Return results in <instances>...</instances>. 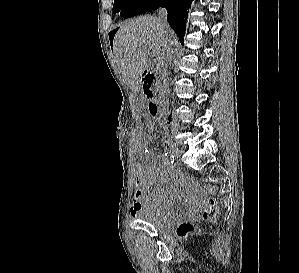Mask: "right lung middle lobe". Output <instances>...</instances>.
I'll return each mask as SVG.
<instances>
[{
	"label": "right lung middle lobe",
	"mask_w": 299,
	"mask_h": 273,
	"mask_svg": "<svg viewBox=\"0 0 299 273\" xmlns=\"http://www.w3.org/2000/svg\"><path fill=\"white\" fill-rule=\"evenodd\" d=\"M137 0H114L113 13L120 12V15H124L125 12L136 2Z\"/></svg>",
	"instance_id": "dd1d6c3e"
}]
</instances>
